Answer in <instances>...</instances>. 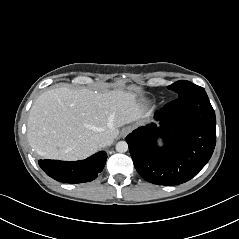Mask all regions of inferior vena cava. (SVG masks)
<instances>
[{"instance_id": "obj_1", "label": "inferior vena cava", "mask_w": 239, "mask_h": 239, "mask_svg": "<svg viewBox=\"0 0 239 239\" xmlns=\"http://www.w3.org/2000/svg\"><path fill=\"white\" fill-rule=\"evenodd\" d=\"M112 142H113L112 139H110L108 137H103L99 141V146L100 147H105V146L111 145Z\"/></svg>"}]
</instances>
